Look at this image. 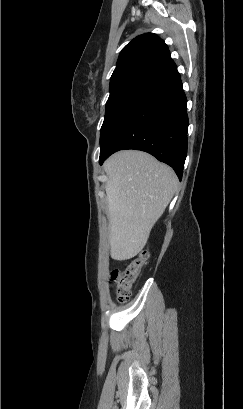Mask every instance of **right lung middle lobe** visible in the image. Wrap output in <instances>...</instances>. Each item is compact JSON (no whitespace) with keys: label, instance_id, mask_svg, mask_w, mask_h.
<instances>
[{"label":"right lung middle lobe","instance_id":"1","mask_svg":"<svg viewBox=\"0 0 243 409\" xmlns=\"http://www.w3.org/2000/svg\"><path fill=\"white\" fill-rule=\"evenodd\" d=\"M161 81L151 77H134L110 85V96L100 133V152L121 123Z\"/></svg>","mask_w":243,"mask_h":409}]
</instances>
